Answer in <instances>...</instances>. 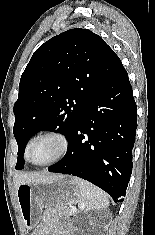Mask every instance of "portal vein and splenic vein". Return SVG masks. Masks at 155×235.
Here are the masks:
<instances>
[{"label": "portal vein and splenic vein", "instance_id": "obj_1", "mask_svg": "<svg viewBox=\"0 0 155 235\" xmlns=\"http://www.w3.org/2000/svg\"><path fill=\"white\" fill-rule=\"evenodd\" d=\"M71 212H73V213L77 212L76 206L71 207Z\"/></svg>", "mask_w": 155, "mask_h": 235}]
</instances>
